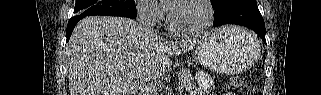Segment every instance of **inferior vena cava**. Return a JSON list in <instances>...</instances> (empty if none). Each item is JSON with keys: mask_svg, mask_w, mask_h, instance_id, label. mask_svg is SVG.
<instances>
[{"mask_svg": "<svg viewBox=\"0 0 321 95\" xmlns=\"http://www.w3.org/2000/svg\"><path fill=\"white\" fill-rule=\"evenodd\" d=\"M139 95H157L154 84L149 81L144 82L140 87Z\"/></svg>", "mask_w": 321, "mask_h": 95, "instance_id": "1", "label": "inferior vena cava"}]
</instances>
